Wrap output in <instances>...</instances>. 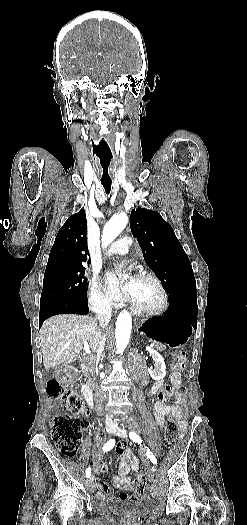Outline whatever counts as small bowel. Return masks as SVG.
<instances>
[{
    "mask_svg": "<svg viewBox=\"0 0 247 525\" xmlns=\"http://www.w3.org/2000/svg\"><path fill=\"white\" fill-rule=\"evenodd\" d=\"M170 383L176 388V397L177 403L175 405H168L164 400L157 399L154 402V419L156 424L162 428L165 424L166 417L172 416L175 417L179 422L180 429H184L185 416L184 411L181 405V400L184 395V391L181 389V375L178 371H173L170 376ZM158 385H154L150 391L151 395L156 394L158 390ZM117 452L120 457L118 464L117 474L114 476V483L121 488L124 492L120 494V500L133 499L135 496H130L128 492L134 490V485L129 479V472H139L140 471V460L137 456L133 455L131 451L126 447L125 443H120L117 446ZM143 459L148 463L145 453H142ZM97 466L102 468L104 466L103 459L98 457L96 459ZM103 474H108V469H103ZM93 485L97 488V496L100 499H113L114 497L111 494H107L109 487L107 482L103 478H97L94 480Z\"/></svg>",
    "mask_w": 247,
    "mask_h": 525,
    "instance_id": "small-bowel-1",
    "label": "small bowel"
}]
</instances>
